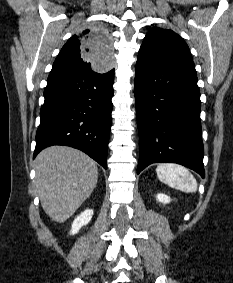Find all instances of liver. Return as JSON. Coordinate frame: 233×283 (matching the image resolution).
<instances>
[{"mask_svg": "<svg viewBox=\"0 0 233 283\" xmlns=\"http://www.w3.org/2000/svg\"><path fill=\"white\" fill-rule=\"evenodd\" d=\"M35 184L45 213L63 223L91 195L98 180L96 162L66 146H51L36 157Z\"/></svg>", "mask_w": 233, "mask_h": 283, "instance_id": "1", "label": "liver"}]
</instances>
